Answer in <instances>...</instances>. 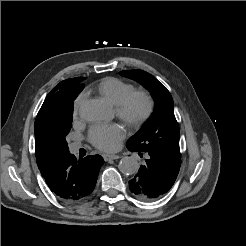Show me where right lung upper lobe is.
<instances>
[{"label":"right lung upper lobe","mask_w":246,"mask_h":246,"mask_svg":"<svg viewBox=\"0 0 246 246\" xmlns=\"http://www.w3.org/2000/svg\"><path fill=\"white\" fill-rule=\"evenodd\" d=\"M84 77L61 81L44 100L35 120V155L38 168L43 175L49 167L66 152L56 142L53 134V120L61 100L68 94L81 92Z\"/></svg>","instance_id":"right-lung-upper-lobe-1"}]
</instances>
